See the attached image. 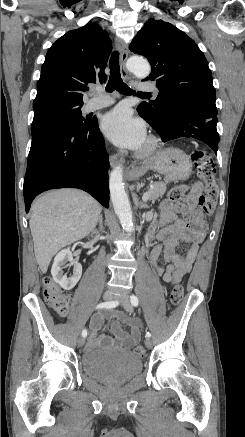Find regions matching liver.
I'll return each mask as SVG.
<instances>
[{
	"mask_svg": "<svg viewBox=\"0 0 245 437\" xmlns=\"http://www.w3.org/2000/svg\"><path fill=\"white\" fill-rule=\"evenodd\" d=\"M31 210L29 225L35 257L41 272L46 273L60 249L94 230L102 208L85 192L61 189L39 197Z\"/></svg>",
	"mask_w": 245,
	"mask_h": 437,
	"instance_id": "obj_1",
	"label": "liver"
}]
</instances>
